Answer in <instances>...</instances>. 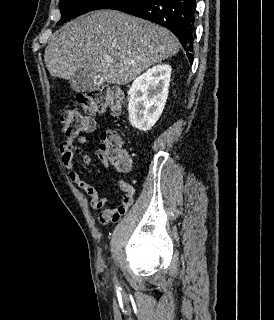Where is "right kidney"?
<instances>
[{
	"mask_svg": "<svg viewBox=\"0 0 274 320\" xmlns=\"http://www.w3.org/2000/svg\"><path fill=\"white\" fill-rule=\"evenodd\" d=\"M171 66L158 64L134 80L128 92L129 122L147 132L158 122L168 98Z\"/></svg>",
	"mask_w": 274,
	"mask_h": 320,
	"instance_id": "1",
	"label": "right kidney"
}]
</instances>
